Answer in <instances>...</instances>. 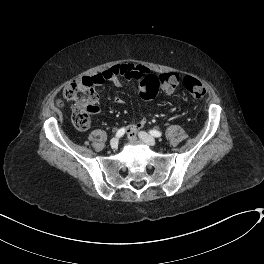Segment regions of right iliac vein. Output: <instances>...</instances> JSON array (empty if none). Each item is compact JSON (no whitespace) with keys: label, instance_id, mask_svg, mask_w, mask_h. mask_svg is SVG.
<instances>
[{"label":"right iliac vein","instance_id":"obj_1","mask_svg":"<svg viewBox=\"0 0 264 264\" xmlns=\"http://www.w3.org/2000/svg\"><path fill=\"white\" fill-rule=\"evenodd\" d=\"M118 144H119V139L118 138H113L111 141H110V146L111 148L113 149H116L118 147Z\"/></svg>","mask_w":264,"mask_h":264}]
</instances>
